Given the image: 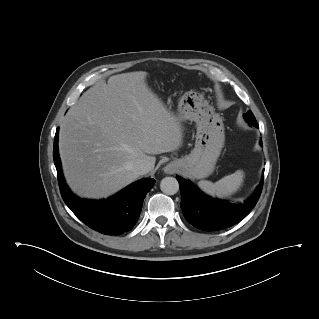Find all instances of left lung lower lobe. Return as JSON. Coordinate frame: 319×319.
Instances as JSON below:
<instances>
[{
  "instance_id": "1",
  "label": "left lung lower lobe",
  "mask_w": 319,
  "mask_h": 319,
  "mask_svg": "<svg viewBox=\"0 0 319 319\" xmlns=\"http://www.w3.org/2000/svg\"><path fill=\"white\" fill-rule=\"evenodd\" d=\"M259 127L258 124H251ZM181 191V208L185 219L194 227L216 231L230 227L244 219L256 205L263 186V179L255 193L243 203L234 204L203 194L187 180L176 176Z\"/></svg>"
}]
</instances>
